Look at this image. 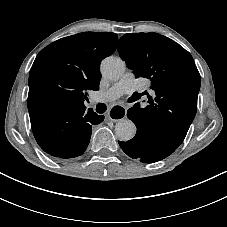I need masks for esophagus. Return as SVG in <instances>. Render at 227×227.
<instances>
[{"label":"esophagus","instance_id":"1","mask_svg":"<svg viewBox=\"0 0 227 227\" xmlns=\"http://www.w3.org/2000/svg\"><path fill=\"white\" fill-rule=\"evenodd\" d=\"M127 115V109L123 105H113L108 111V118L112 121L123 120Z\"/></svg>","mask_w":227,"mask_h":227}]
</instances>
